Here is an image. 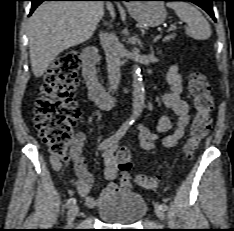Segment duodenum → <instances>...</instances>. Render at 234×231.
Instances as JSON below:
<instances>
[{
	"label": "duodenum",
	"mask_w": 234,
	"mask_h": 231,
	"mask_svg": "<svg viewBox=\"0 0 234 231\" xmlns=\"http://www.w3.org/2000/svg\"><path fill=\"white\" fill-rule=\"evenodd\" d=\"M98 56L96 47L89 46L82 52V74L86 87L89 90L90 99L95 105L102 109L108 110L117 104L114 95L107 92L99 82L95 62Z\"/></svg>",
	"instance_id": "410a0bca"
}]
</instances>
